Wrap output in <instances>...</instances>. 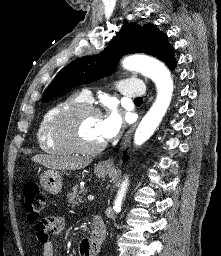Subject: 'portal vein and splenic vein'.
Listing matches in <instances>:
<instances>
[{
    "label": "portal vein and splenic vein",
    "mask_w": 221,
    "mask_h": 256,
    "mask_svg": "<svg viewBox=\"0 0 221 256\" xmlns=\"http://www.w3.org/2000/svg\"><path fill=\"white\" fill-rule=\"evenodd\" d=\"M87 199H88V201H93L94 200V196L93 195H88Z\"/></svg>",
    "instance_id": "18ae733b"
}]
</instances>
